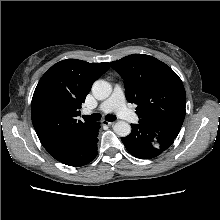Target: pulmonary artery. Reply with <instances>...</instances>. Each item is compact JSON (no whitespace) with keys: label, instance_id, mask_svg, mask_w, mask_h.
<instances>
[{"label":"pulmonary artery","instance_id":"1","mask_svg":"<svg viewBox=\"0 0 220 220\" xmlns=\"http://www.w3.org/2000/svg\"><path fill=\"white\" fill-rule=\"evenodd\" d=\"M96 111L102 113L114 112L117 116L128 122L137 123L139 120L137 115L126 107L124 91L119 85H115L111 96L103 103H101L100 106L96 109ZM84 112L88 114L92 111L86 109Z\"/></svg>","mask_w":220,"mask_h":220}]
</instances>
